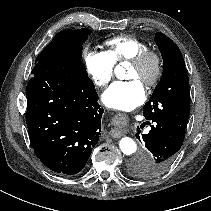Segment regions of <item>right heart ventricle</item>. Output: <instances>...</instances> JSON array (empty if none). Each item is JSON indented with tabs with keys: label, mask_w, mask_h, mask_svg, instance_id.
Returning a JSON list of instances; mask_svg holds the SVG:
<instances>
[{
	"label": "right heart ventricle",
	"mask_w": 211,
	"mask_h": 211,
	"mask_svg": "<svg viewBox=\"0 0 211 211\" xmlns=\"http://www.w3.org/2000/svg\"><path fill=\"white\" fill-rule=\"evenodd\" d=\"M104 45L107 55L114 64L129 61L137 53L148 48L144 41L131 35L111 38L105 41Z\"/></svg>",
	"instance_id": "obj_1"
}]
</instances>
